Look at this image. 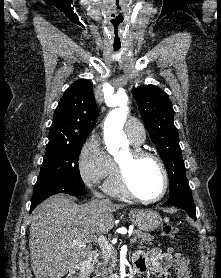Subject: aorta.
I'll return each mask as SVG.
<instances>
[{
	"label": "aorta",
	"mask_w": 221,
	"mask_h": 278,
	"mask_svg": "<svg viewBox=\"0 0 221 278\" xmlns=\"http://www.w3.org/2000/svg\"><path fill=\"white\" fill-rule=\"evenodd\" d=\"M127 97L120 95L118 99V108L113 109L106 117L104 124V138L107 149L110 153L118 151L120 145L127 142L123 132V126L127 119L128 107Z\"/></svg>",
	"instance_id": "obj_1"
}]
</instances>
